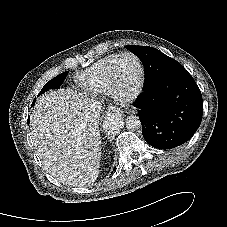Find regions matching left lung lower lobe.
Returning a JSON list of instances; mask_svg holds the SVG:
<instances>
[{
	"instance_id": "0a47b994",
	"label": "left lung lower lobe",
	"mask_w": 227,
	"mask_h": 227,
	"mask_svg": "<svg viewBox=\"0 0 227 227\" xmlns=\"http://www.w3.org/2000/svg\"><path fill=\"white\" fill-rule=\"evenodd\" d=\"M133 105L144 139L158 149L185 143L200 126L203 113L201 92L185 69L146 86Z\"/></svg>"
}]
</instances>
